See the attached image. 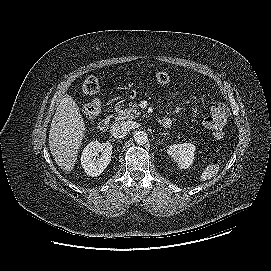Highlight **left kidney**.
Returning a JSON list of instances; mask_svg holds the SVG:
<instances>
[{
	"mask_svg": "<svg viewBox=\"0 0 271 271\" xmlns=\"http://www.w3.org/2000/svg\"><path fill=\"white\" fill-rule=\"evenodd\" d=\"M167 153L174 159L180 168H188L194 160L195 146L191 143L171 145Z\"/></svg>",
	"mask_w": 271,
	"mask_h": 271,
	"instance_id": "left-kidney-1",
	"label": "left kidney"
}]
</instances>
